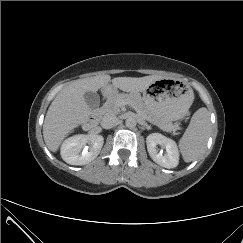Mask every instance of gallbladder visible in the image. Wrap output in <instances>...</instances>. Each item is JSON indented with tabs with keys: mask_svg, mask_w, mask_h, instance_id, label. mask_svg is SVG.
Segmentation results:
<instances>
[{
	"mask_svg": "<svg viewBox=\"0 0 243 243\" xmlns=\"http://www.w3.org/2000/svg\"><path fill=\"white\" fill-rule=\"evenodd\" d=\"M84 99L91 109H95L99 106L100 97L98 93L88 91L84 94Z\"/></svg>",
	"mask_w": 243,
	"mask_h": 243,
	"instance_id": "gallbladder-1",
	"label": "gallbladder"
}]
</instances>
